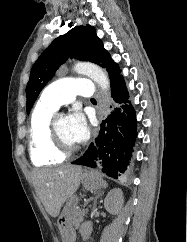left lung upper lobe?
Wrapping results in <instances>:
<instances>
[{"mask_svg":"<svg viewBox=\"0 0 187 242\" xmlns=\"http://www.w3.org/2000/svg\"><path fill=\"white\" fill-rule=\"evenodd\" d=\"M68 57L90 61L105 68L111 83L120 76L118 65L104 49L95 29L89 25L74 27L55 39L33 65L26 87L27 113L30 112L41 90Z\"/></svg>","mask_w":187,"mask_h":242,"instance_id":"obj_1","label":"left lung upper lobe"}]
</instances>
